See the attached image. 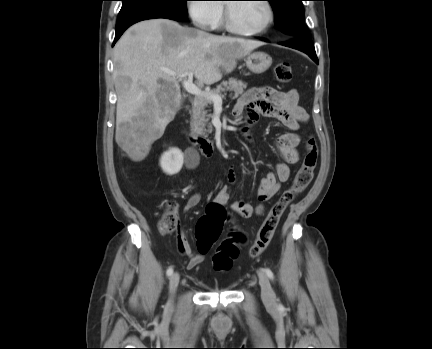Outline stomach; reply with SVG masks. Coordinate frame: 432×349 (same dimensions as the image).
I'll use <instances>...</instances> for the list:
<instances>
[{
	"mask_svg": "<svg viewBox=\"0 0 432 349\" xmlns=\"http://www.w3.org/2000/svg\"><path fill=\"white\" fill-rule=\"evenodd\" d=\"M247 68L255 73H264L272 64V57L265 52H253L248 54L245 59Z\"/></svg>",
	"mask_w": 432,
	"mask_h": 349,
	"instance_id": "obj_1",
	"label": "stomach"
}]
</instances>
